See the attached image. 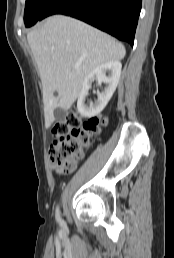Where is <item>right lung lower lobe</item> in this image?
Segmentation results:
<instances>
[{"instance_id": "right-lung-lower-lobe-1", "label": "right lung lower lobe", "mask_w": 174, "mask_h": 258, "mask_svg": "<svg viewBox=\"0 0 174 258\" xmlns=\"http://www.w3.org/2000/svg\"><path fill=\"white\" fill-rule=\"evenodd\" d=\"M141 3L142 0H53L43 18L54 14L71 16L132 46Z\"/></svg>"}]
</instances>
